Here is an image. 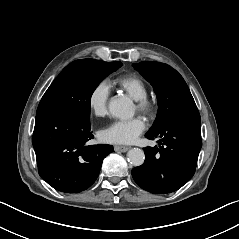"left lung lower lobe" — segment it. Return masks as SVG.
<instances>
[{
	"instance_id": "obj_1",
	"label": "left lung lower lobe",
	"mask_w": 239,
	"mask_h": 239,
	"mask_svg": "<svg viewBox=\"0 0 239 239\" xmlns=\"http://www.w3.org/2000/svg\"><path fill=\"white\" fill-rule=\"evenodd\" d=\"M198 110L178 113L148 139L161 138L159 147H146L145 162L132 169L135 182L144 190L165 194L178 190L194 175L202 147Z\"/></svg>"
}]
</instances>
